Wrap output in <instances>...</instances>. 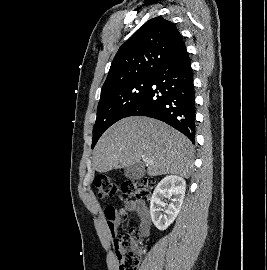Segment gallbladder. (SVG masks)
Segmentation results:
<instances>
[{"label": "gallbladder", "mask_w": 267, "mask_h": 270, "mask_svg": "<svg viewBox=\"0 0 267 270\" xmlns=\"http://www.w3.org/2000/svg\"><path fill=\"white\" fill-rule=\"evenodd\" d=\"M124 175L130 180H138L145 176V170L135 164L125 168Z\"/></svg>", "instance_id": "obj_1"}]
</instances>
